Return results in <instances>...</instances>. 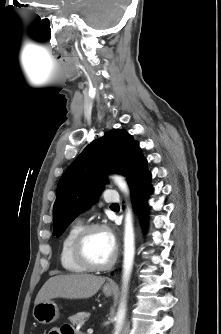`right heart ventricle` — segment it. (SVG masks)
<instances>
[{
    "label": "right heart ventricle",
    "mask_w": 221,
    "mask_h": 334,
    "mask_svg": "<svg viewBox=\"0 0 221 334\" xmlns=\"http://www.w3.org/2000/svg\"><path fill=\"white\" fill-rule=\"evenodd\" d=\"M82 227L83 225L80 221L73 223L65 233L61 242L60 263L62 268L69 273L79 274L86 271V269L75 260L72 252L74 239Z\"/></svg>",
    "instance_id": "1"
}]
</instances>
